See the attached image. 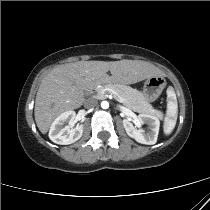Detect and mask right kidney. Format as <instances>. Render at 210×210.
Returning <instances> with one entry per match:
<instances>
[{"mask_svg": "<svg viewBox=\"0 0 210 210\" xmlns=\"http://www.w3.org/2000/svg\"><path fill=\"white\" fill-rule=\"evenodd\" d=\"M76 113L74 111H66L60 114L52 123L49 131V138L56 144L68 145L79 140L83 133V126L71 128ZM68 123L67 126H64Z\"/></svg>", "mask_w": 210, "mask_h": 210, "instance_id": "obj_1", "label": "right kidney"}]
</instances>
